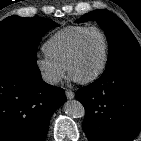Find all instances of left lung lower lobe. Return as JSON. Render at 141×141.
Wrapping results in <instances>:
<instances>
[{
  "instance_id": "obj_1",
  "label": "left lung lower lobe",
  "mask_w": 141,
  "mask_h": 141,
  "mask_svg": "<svg viewBox=\"0 0 141 141\" xmlns=\"http://www.w3.org/2000/svg\"><path fill=\"white\" fill-rule=\"evenodd\" d=\"M85 108L82 127L90 141H131L141 130V64L102 74L76 92Z\"/></svg>"
}]
</instances>
